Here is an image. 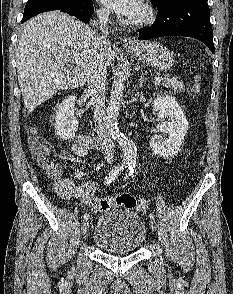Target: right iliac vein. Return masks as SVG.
Returning a JSON list of instances; mask_svg holds the SVG:
<instances>
[{
	"mask_svg": "<svg viewBox=\"0 0 233 294\" xmlns=\"http://www.w3.org/2000/svg\"><path fill=\"white\" fill-rule=\"evenodd\" d=\"M88 228H89V223L87 220H84L81 226V234L82 235L86 234Z\"/></svg>",
	"mask_w": 233,
	"mask_h": 294,
	"instance_id": "63e3f726",
	"label": "right iliac vein"
}]
</instances>
